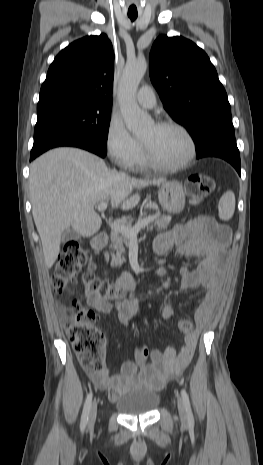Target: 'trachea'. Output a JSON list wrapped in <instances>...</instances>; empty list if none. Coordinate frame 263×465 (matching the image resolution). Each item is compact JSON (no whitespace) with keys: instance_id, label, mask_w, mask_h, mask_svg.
Segmentation results:
<instances>
[{"instance_id":"1","label":"trachea","mask_w":263,"mask_h":465,"mask_svg":"<svg viewBox=\"0 0 263 465\" xmlns=\"http://www.w3.org/2000/svg\"><path fill=\"white\" fill-rule=\"evenodd\" d=\"M129 18L131 19V21H134L136 20L137 16H129Z\"/></svg>"}]
</instances>
